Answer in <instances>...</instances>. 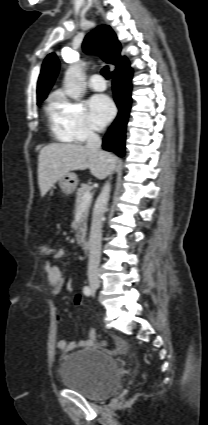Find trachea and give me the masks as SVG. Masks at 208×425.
I'll return each instance as SVG.
<instances>
[{
  "mask_svg": "<svg viewBox=\"0 0 208 425\" xmlns=\"http://www.w3.org/2000/svg\"><path fill=\"white\" fill-rule=\"evenodd\" d=\"M101 74L106 78L109 79L110 78V72H109V68L108 66H105L102 68L101 70Z\"/></svg>",
  "mask_w": 208,
  "mask_h": 425,
  "instance_id": "3493384b",
  "label": "trachea"
}]
</instances>
